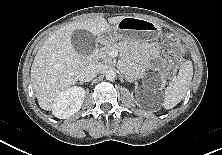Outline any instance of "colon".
Masks as SVG:
<instances>
[{
	"instance_id": "1",
	"label": "colon",
	"mask_w": 222,
	"mask_h": 155,
	"mask_svg": "<svg viewBox=\"0 0 222 155\" xmlns=\"http://www.w3.org/2000/svg\"><path fill=\"white\" fill-rule=\"evenodd\" d=\"M162 50L165 55L164 71L168 77H172L180 60L179 54L182 51L180 40L172 34H166L162 40Z\"/></svg>"
}]
</instances>
